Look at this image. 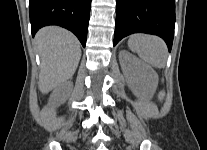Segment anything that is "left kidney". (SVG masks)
I'll list each match as a JSON object with an SVG mask.
<instances>
[{
  "label": "left kidney",
  "instance_id": "left-kidney-1",
  "mask_svg": "<svg viewBox=\"0 0 207 150\" xmlns=\"http://www.w3.org/2000/svg\"><path fill=\"white\" fill-rule=\"evenodd\" d=\"M119 59L123 73L129 78L131 83L133 81V67L139 71L142 87L138 89L132 85L131 89L133 93L136 96H140L144 100H150L153 97L158 85L157 73L153 70V68L141 62L135 56L126 51H121L119 53Z\"/></svg>",
  "mask_w": 207,
  "mask_h": 150
}]
</instances>
